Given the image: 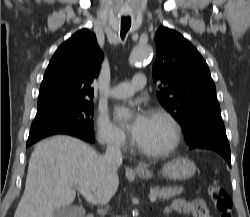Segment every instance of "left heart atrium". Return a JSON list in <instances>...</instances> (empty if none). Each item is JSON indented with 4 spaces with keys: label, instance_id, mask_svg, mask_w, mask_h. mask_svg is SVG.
<instances>
[{
    "label": "left heart atrium",
    "instance_id": "obj_1",
    "mask_svg": "<svg viewBox=\"0 0 250 217\" xmlns=\"http://www.w3.org/2000/svg\"><path fill=\"white\" fill-rule=\"evenodd\" d=\"M116 116L120 121H128L129 131L133 139L138 142L148 124L150 115L141 109L121 108L117 110Z\"/></svg>",
    "mask_w": 250,
    "mask_h": 217
}]
</instances>
